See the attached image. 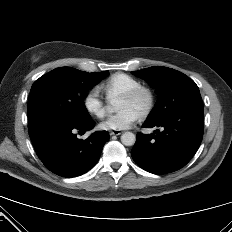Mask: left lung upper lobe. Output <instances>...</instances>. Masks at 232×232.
Here are the masks:
<instances>
[{
  "label": "left lung upper lobe",
  "instance_id": "obj_1",
  "mask_svg": "<svg viewBox=\"0 0 232 232\" xmlns=\"http://www.w3.org/2000/svg\"><path fill=\"white\" fill-rule=\"evenodd\" d=\"M132 74L145 79L160 95L147 120L158 121L178 109L202 103L195 82L177 70L156 66Z\"/></svg>",
  "mask_w": 232,
  "mask_h": 232
}]
</instances>
